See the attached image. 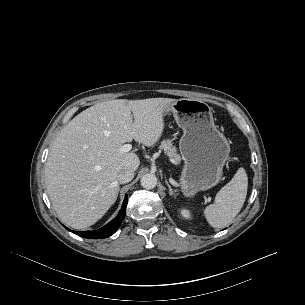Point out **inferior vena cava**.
I'll return each instance as SVG.
<instances>
[{
	"label": "inferior vena cava",
	"instance_id": "obj_1",
	"mask_svg": "<svg viewBox=\"0 0 305 305\" xmlns=\"http://www.w3.org/2000/svg\"><path fill=\"white\" fill-rule=\"evenodd\" d=\"M134 170L132 168H124L119 171L117 180L119 183H128L134 177Z\"/></svg>",
	"mask_w": 305,
	"mask_h": 305
}]
</instances>
